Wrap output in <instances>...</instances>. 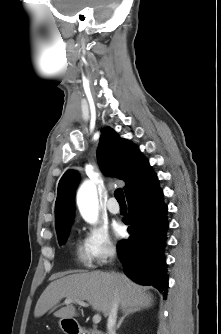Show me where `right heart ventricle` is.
I'll return each mask as SVG.
<instances>
[{
    "instance_id": "e07e8e85",
    "label": "right heart ventricle",
    "mask_w": 221,
    "mask_h": 334,
    "mask_svg": "<svg viewBox=\"0 0 221 334\" xmlns=\"http://www.w3.org/2000/svg\"><path fill=\"white\" fill-rule=\"evenodd\" d=\"M75 254L78 258V260L84 264H88L89 263V257L85 251V248L83 245L81 244H77L75 247Z\"/></svg>"
}]
</instances>
